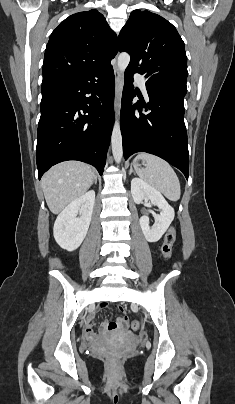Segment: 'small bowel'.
Returning <instances> with one entry per match:
<instances>
[{
	"label": "small bowel",
	"instance_id": "obj_1",
	"mask_svg": "<svg viewBox=\"0 0 235 404\" xmlns=\"http://www.w3.org/2000/svg\"><path fill=\"white\" fill-rule=\"evenodd\" d=\"M102 309H103V306H99L95 310L90 311L86 320L89 321L96 312H100ZM120 328H121L120 326H117L114 328V330L120 329ZM103 330L106 331V328L104 327ZM86 333H87V335H93V325H91V324L87 325Z\"/></svg>",
	"mask_w": 235,
	"mask_h": 404
}]
</instances>
